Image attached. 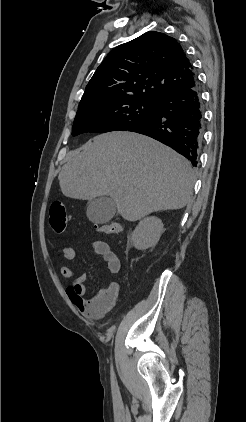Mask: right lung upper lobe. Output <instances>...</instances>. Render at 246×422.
<instances>
[{
  "label": "right lung upper lobe",
  "instance_id": "right-lung-upper-lobe-1",
  "mask_svg": "<svg viewBox=\"0 0 246 422\" xmlns=\"http://www.w3.org/2000/svg\"><path fill=\"white\" fill-rule=\"evenodd\" d=\"M195 84L193 66L176 39L149 31L109 52L87 84L79 107L119 97L155 102Z\"/></svg>",
  "mask_w": 246,
  "mask_h": 422
}]
</instances>
